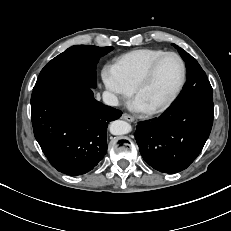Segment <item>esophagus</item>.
<instances>
[{
    "label": "esophagus",
    "mask_w": 231,
    "mask_h": 231,
    "mask_svg": "<svg viewBox=\"0 0 231 231\" xmlns=\"http://www.w3.org/2000/svg\"><path fill=\"white\" fill-rule=\"evenodd\" d=\"M121 118L123 120L128 121V122H133L134 121V118L132 116H130L129 114H126V113L122 114Z\"/></svg>",
    "instance_id": "obj_1"
}]
</instances>
